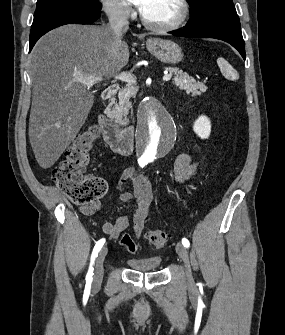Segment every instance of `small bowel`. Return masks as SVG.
<instances>
[{"label":"small bowel","instance_id":"small-bowel-1","mask_svg":"<svg viewBox=\"0 0 285 335\" xmlns=\"http://www.w3.org/2000/svg\"><path fill=\"white\" fill-rule=\"evenodd\" d=\"M197 169V163L187 153L180 154L174 162V175L178 182H183L192 176ZM134 177L132 192L125 191L123 188L127 179ZM117 190L119 198L123 202L136 200L132 226L133 231L139 237L143 231L145 222L149 216L153 200V188L150 181L143 175H135L132 168L123 170L118 181ZM101 207L100 202L94 201L88 205H82L80 211L87 216L95 214ZM130 220L127 216H120L115 222H105L102 231L111 239H117L129 226Z\"/></svg>","mask_w":285,"mask_h":335}]
</instances>
